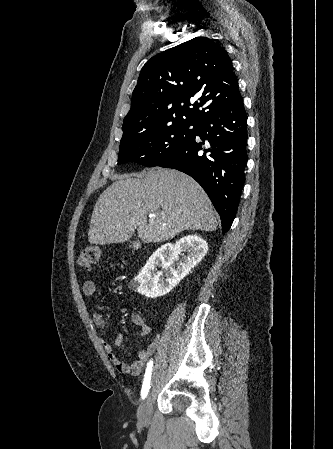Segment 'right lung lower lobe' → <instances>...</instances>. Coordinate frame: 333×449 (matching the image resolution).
<instances>
[{
  "label": "right lung lower lobe",
  "mask_w": 333,
  "mask_h": 449,
  "mask_svg": "<svg viewBox=\"0 0 333 449\" xmlns=\"http://www.w3.org/2000/svg\"><path fill=\"white\" fill-rule=\"evenodd\" d=\"M247 114L241 95L206 114L195 134L156 166L193 177L222 219V233L236 215L248 160Z\"/></svg>",
  "instance_id": "obj_1"
}]
</instances>
